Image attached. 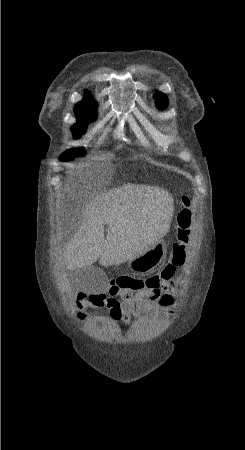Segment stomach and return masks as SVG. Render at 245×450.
Masks as SVG:
<instances>
[{
	"label": "stomach",
	"mask_w": 245,
	"mask_h": 450,
	"mask_svg": "<svg viewBox=\"0 0 245 450\" xmlns=\"http://www.w3.org/2000/svg\"><path fill=\"white\" fill-rule=\"evenodd\" d=\"M167 251L165 240L160 238L154 245L143 253L128 261L131 270L139 273H147L154 270L163 260Z\"/></svg>",
	"instance_id": "1"
}]
</instances>
